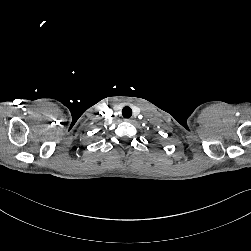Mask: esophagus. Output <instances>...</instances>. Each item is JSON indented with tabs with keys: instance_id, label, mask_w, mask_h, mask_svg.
<instances>
[{
	"instance_id": "esophagus-1",
	"label": "esophagus",
	"mask_w": 251,
	"mask_h": 251,
	"mask_svg": "<svg viewBox=\"0 0 251 251\" xmlns=\"http://www.w3.org/2000/svg\"><path fill=\"white\" fill-rule=\"evenodd\" d=\"M125 121L126 122H132V119L126 118Z\"/></svg>"
}]
</instances>
